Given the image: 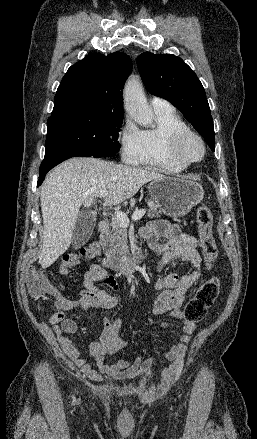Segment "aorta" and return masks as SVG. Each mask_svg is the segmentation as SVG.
Wrapping results in <instances>:
<instances>
[{
    "label": "aorta",
    "instance_id": "aorta-1",
    "mask_svg": "<svg viewBox=\"0 0 257 439\" xmlns=\"http://www.w3.org/2000/svg\"><path fill=\"white\" fill-rule=\"evenodd\" d=\"M124 108L138 124L149 126L153 123V110L146 101L140 82L131 79L124 90Z\"/></svg>",
    "mask_w": 257,
    "mask_h": 439
}]
</instances>
